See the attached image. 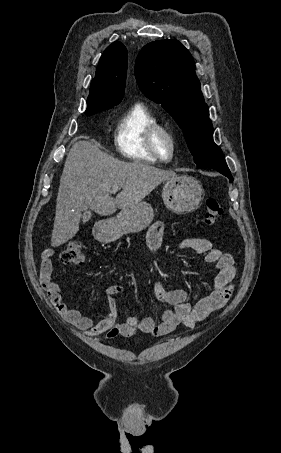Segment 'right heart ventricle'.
<instances>
[{"mask_svg":"<svg viewBox=\"0 0 281 453\" xmlns=\"http://www.w3.org/2000/svg\"><path fill=\"white\" fill-rule=\"evenodd\" d=\"M156 116L143 104L136 103L124 109L119 117L114 144L125 158L149 163L158 159L148 147V133L158 124Z\"/></svg>","mask_w":281,"mask_h":453,"instance_id":"1","label":"right heart ventricle"}]
</instances>
